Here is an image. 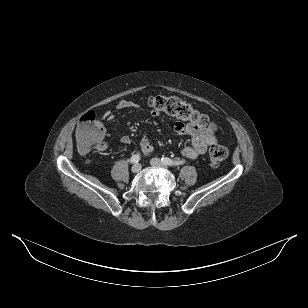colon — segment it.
<instances>
[{"label":"colon","instance_id":"1","mask_svg":"<svg viewBox=\"0 0 308 308\" xmlns=\"http://www.w3.org/2000/svg\"><path fill=\"white\" fill-rule=\"evenodd\" d=\"M148 105L156 113H165L182 122L194 124L202 128L214 130L215 125L208 116L189 103L175 96L157 95L149 98ZM104 128L93 111L86 112L76 128V141L81 152L87 153L98 149L104 140ZM225 146L214 144L209 150V163L213 168L219 167L227 157Z\"/></svg>","mask_w":308,"mask_h":308}]
</instances>
